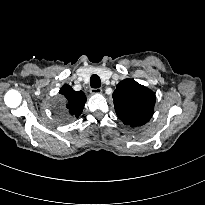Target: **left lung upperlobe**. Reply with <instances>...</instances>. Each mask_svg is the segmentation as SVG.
Returning a JSON list of instances; mask_svg holds the SVG:
<instances>
[{"mask_svg":"<svg viewBox=\"0 0 205 205\" xmlns=\"http://www.w3.org/2000/svg\"><path fill=\"white\" fill-rule=\"evenodd\" d=\"M118 118L131 127L146 124L153 115L155 93L134 79H124L113 95Z\"/></svg>","mask_w":205,"mask_h":205,"instance_id":"left-lung-upper-lobe-1","label":"left lung upper lobe"}]
</instances>
